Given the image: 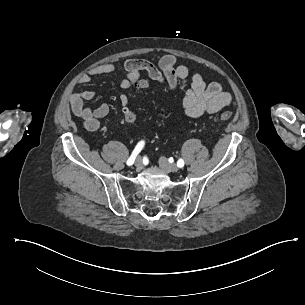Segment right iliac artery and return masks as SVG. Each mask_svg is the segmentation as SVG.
I'll list each match as a JSON object with an SVG mask.
<instances>
[{"label": "right iliac artery", "mask_w": 305, "mask_h": 305, "mask_svg": "<svg viewBox=\"0 0 305 305\" xmlns=\"http://www.w3.org/2000/svg\"><path fill=\"white\" fill-rule=\"evenodd\" d=\"M143 147H144V141H140L135 147L134 151L132 152L130 158L127 160V165L130 166L134 163L137 154L142 150Z\"/></svg>", "instance_id": "right-iliac-artery-1"}]
</instances>
